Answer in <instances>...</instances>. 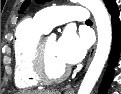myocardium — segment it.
Here are the masks:
<instances>
[{"instance_id": "f54148a6", "label": "myocardium", "mask_w": 121, "mask_h": 94, "mask_svg": "<svg viewBox=\"0 0 121 94\" xmlns=\"http://www.w3.org/2000/svg\"><path fill=\"white\" fill-rule=\"evenodd\" d=\"M45 41L46 38H40L34 50L33 57V71L36 78L44 84H56L68 77L70 74V67H66L57 75L49 74L46 65L45 55Z\"/></svg>"}]
</instances>
